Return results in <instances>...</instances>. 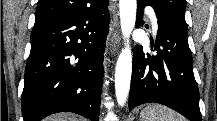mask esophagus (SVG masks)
<instances>
[{
  "instance_id": "esophagus-1",
  "label": "esophagus",
  "mask_w": 217,
  "mask_h": 121,
  "mask_svg": "<svg viewBox=\"0 0 217 121\" xmlns=\"http://www.w3.org/2000/svg\"><path fill=\"white\" fill-rule=\"evenodd\" d=\"M119 42V31L116 30L113 32L111 36V45H110V52L114 53L117 50V44Z\"/></svg>"
}]
</instances>
